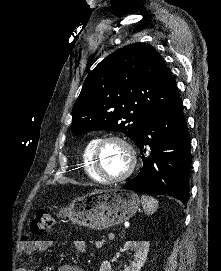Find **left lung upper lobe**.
Returning <instances> with one entry per match:
<instances>
[{
    "mask_svg": "<svg viewBox=\"0 0 221 271\" xmlns=\"http://www.w3.org/2000/svg\"><path fill=\"white\" fill-rule=\"evenodd\" d=\"M177 92L170 69L153 46L127 45L88 74L73 106L71 130L119 131L135 142L143 124Z\"/></svg>",
    "mask_w": 221,
    "mask_h": 271,
    "instance_id": "1",
    "label": "left lung upper lobe"
}]
</instances>
